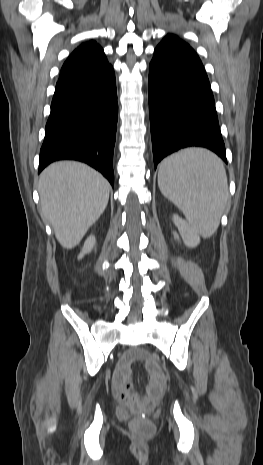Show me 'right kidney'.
<instances>
[{
    "label": "right kidney",
    "mask_w": 263,
    "mask_h": 465,
    "mask_svg": "<svg viewBox=\"0 0 263 465\" xmlns=\"http://www.w3.org/2000/svg\"><path fill=\"white\" fill-rule=\"evenodd\" d=\"M95 244H96L95 236L90 235V236L86 239V241H85V243H84V245H83V248H82V250H81V253H80L79 256H78V259H81L85 254L91 252V251L93 250Z\"/></svg>",
    "instance_id": "obj_1"
}]
</instances>
